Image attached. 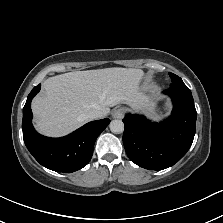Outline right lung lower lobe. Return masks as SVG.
<instances>
[{"label": "right lung lower lobe", "instance_id": "98d812e1", "mask_svg": "<svg viewBox=\"0 0 223 223\" xmlns=\"http://www.w3.org/2000/svg\"><path fill=\"white\" fill-rule=\"evenodd\" d=\"M41 85L34 87L23 108L22 130L26 147L44 167L57 172H74L86 166L93 154L94 143L110 120L105 118L85 124L61 138L40 135L32 125L31 101Z\"/></svg>", "mask_w": 223, "mask_h": 223}]
</instances>
